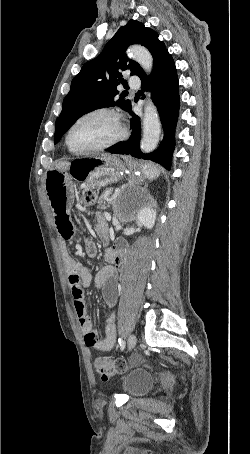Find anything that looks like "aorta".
<instances>
[{"label": "aorta", "mask_w": 250, "mask_h": 454, "mask_svg": "<svg viewBox=\"0 0 250 454\" xmlns=\"http://www.w3.org/2000/svg\"><path fill=\"white\" fill-rule=\"evenodd\" d=\"M127 53L133 60L141 65L146 73L151 72L153 58L145 47L133 45L128 49ZM160 133L161 124L157 109L152 100L148 99L144 109L143 137L140 143L141 150L145 153L153 151L158 145Z\"/></svg>", "instance_id": "aorta-1"}]
</instances>
